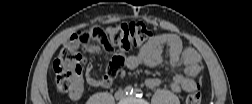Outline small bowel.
Segmentation results:
<instances>
[{"label": "small bowel", "mask_w": 252, "mask_h": 104, "mask_svg": "<svg viewBox=\"0 0 252 104\" xmlns=\"http://www.w3.org/2000/svg\"><path fill=\"white\" fill-rule=\"evenodd\" d=\"M168 52V66L172 69L184 67V75L176 74L171 80V89L177 93L188 92L194 89L196 79L201 71V57L193 48L182 47L181 39L175 34H158L148 40L133 55L123 58V64L129 69H135L140 64L156 67L162 62L163 50ZM95 48H91L90 53H94ZM119 71V70H118ZM86 81L92 87L109 88L113 83V77L104 74L100 77L94 75V65L88 63L86 67ZM161 80L157 77L145 79L144 84L149 88L160 85ZM71 100H79L81 92L69 94Z\"/></svg>", "instance_id": "obj_1"}]
</instances>
